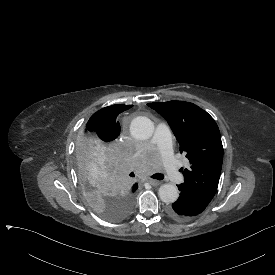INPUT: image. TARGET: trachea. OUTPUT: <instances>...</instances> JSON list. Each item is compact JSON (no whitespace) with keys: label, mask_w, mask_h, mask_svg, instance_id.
Returning a JSON list of instances; mask_svg holds the SVG:
<instances>
[{"label":"trachea","mask_w":275,"mask_h":275,"mask_svg":"<svg viewBox=\"0 0 275 275\" xmlns=\"http://www.w3.org/2000/svg\"><path fill=\"white\" fill-rule=\"evenodd\" d=\"M130 176H131V177H134V173H133V172L130 173ZM164 177H165V175H164V174H161V173H156V174H154V175L152 176V178L157 179V180H163Z\"/></svg>","instance_id":"1"}]
</instances>
